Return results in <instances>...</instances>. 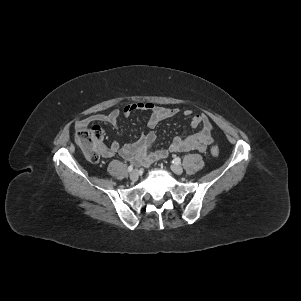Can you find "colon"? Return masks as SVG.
Returning <instances> with one entry per match:
<instances>
[{"label": "colon", "mask_w": 301, "mask_h": 301, "mask_svg": "<svg viewBox=\"0 0 301 301\" xmlns=\"http://www.w3.org/2000/svg\"><path fill=\"white\" fill-rule=\"evenodd\" d=\"M103 130L99 125H87L77 129L76 142L90 162H97L102 152ZM213 157H218L219 148L213 145L210 149Z\"/></svg>", "instance_id": "5ec220e1"}]
</instances>
